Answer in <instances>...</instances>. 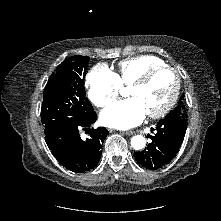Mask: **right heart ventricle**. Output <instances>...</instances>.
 <instances>
[{
    "label": "right heart ventricle",
    "instance_id": "e07e8e85",
    "mask_svg": "<svg viewBox=\"0 0 221 221\" xmlns=\"http://www.w3.org/2000/svg\"><path fill=\"white\" fill-rule=\"evenodd\" d=\"M164 64V61L156 56L140 55L120 61L114 74L121 85L129 86L150 68Z\"/></svg>",
    "mask_w": 221,
    "mask_h": 221
}]
</instances>
